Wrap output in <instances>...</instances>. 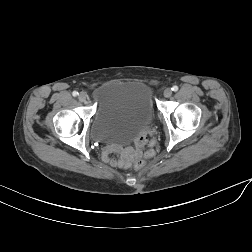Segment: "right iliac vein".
<instances>
[{"instance_id": "obj_1", "label": "right iliac vein", "mask_w": 252, "mask_h": 252, "mask_svg": "<svg viewBox=\"0 0 252 252\" xmlns=\"http://www.w3.org/2000/svg\"><path fill=\"white\" fill-rule=\"evenodd\" d=\"M79 101L86 103L89 99L88 94L86 92H81L78 96Z\"/></svg>"}]
</instances>
